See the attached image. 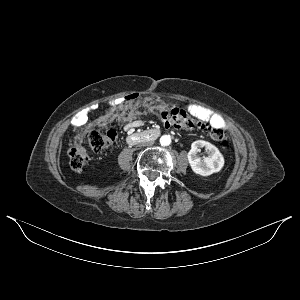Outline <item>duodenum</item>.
Listing matches in <instances>:
<instances>
[{
    "label": "duodenum",
    "mask_w": 300,
    "mask_h": 300,
    "mask_svg": "<svg viewBox=\"0 0 300 300\" xmlns=\"http://www.w3.org/2000/svg\"><path fill=\"white\" fill-rule=\"evenodd\" d=\"M159 135V130L157 129H151L148 131L138 132V133H131L127 137V143L128 144H135L138 141H148L153 140Z\"/></svg>",
    "instance_id": "410a0bca"
}]
</instances>
